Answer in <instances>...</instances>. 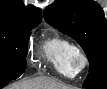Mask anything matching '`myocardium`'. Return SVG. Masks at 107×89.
Wrapping results in <instances>:
<instances>
[{"label":"myocardium","instance_id":"obj_1","mask_svg":"<svg viewBox=\"0 0 107 89\" xmlns=\"http://www.w3.org/2000/svg\"><path fill=\"white\" fill-rule=\"evenodd\" d=\"M70 65L76 74L82 72L88 66L86 54L82 50L76 48L71 54Z\"/></svg>","mask_w":107,"mask_h":89}]
</instances>
